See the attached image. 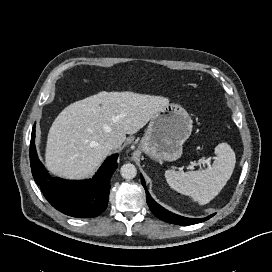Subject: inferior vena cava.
Instances as JSON below:
<instances>
[{
	"label": "inferior vena cava",
	"mask_w": 272,
	"mask_h": 272,
	"mask_svg": "<svg viewBox=\"0 0 272 272\" xmlns=\"http://www.w3.org/2000/svg\"><path fill=\"white\" fill-rule=\"evenodd\" d=\"M120 146L119 142L114 139V138H109L106 142H105V147L109 150L112 149H116Z\"/></svg>",
	"instance_id": "inferior-vena-cava-1"
}]
</instances>
